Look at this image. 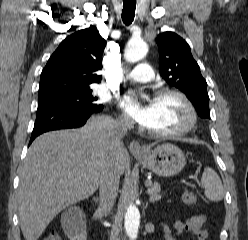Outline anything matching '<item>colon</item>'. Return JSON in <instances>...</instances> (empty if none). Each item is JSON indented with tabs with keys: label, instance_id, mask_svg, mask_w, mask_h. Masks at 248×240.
Masks as SVG:
<instances>
[{
	"label": "colon",
	"instance_id": "obj_1",
	"mask_svg": "<svg viewBox=\"0 0 248 240\" xmlns=\"http://www.w3.org/2000/svg\"><path fill=\"white\" fill-rule=\"evenodd\" d=\"M182 199L187 205H194L196 203V195L191 190H185ZM44 240H61V236L57 232H52Z\"/></svg>",
	"mask_w": 248,
	"mask_h": 240
}]
</instances>
